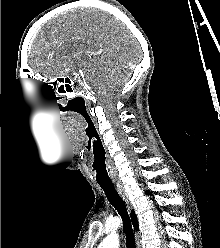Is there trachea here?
<instances>
[{
    "label": "trachea",
    "mask_w": 220,
    "mask_h": 248,
    "mask_svg": "<svg viewBox=\"0 0 220 248\" xmlns=\"http://www.w3.org/2000/svg\"><path fill=\"white\" fill-rule=\"evenodd\" d=\"M99 185L105 192V195L107 196L109 202L118 211L119 215L122 218L124 231L126 235V247L136 248L134 232L132 229V225L130 222V218H129L125 203L123 202L122 198L119 196L113 183H106V184L99 183Z\"/></svg>",
    "instance_id": "obj_1"
}]
</instances>
